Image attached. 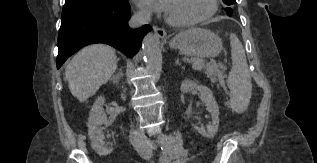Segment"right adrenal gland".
Masks as SVG:
<instances>
[{
  "mask_svg": "<svg viewBox=\"0 0 317 163\" xmlns=\"http://www.w3.org/2000/svg\"><path fill=\"white\" fill-rule=\"evenodd\" d=\"M123 77V72L120 70L115 73L109 80L113 81L114 84H119V80Z\"/></svg>",
  "mask_w": 317,
  "mask_h": 163,
  "instance_id": "obj_1",
  "label": "right adrenal gland"
}]
</instances>
